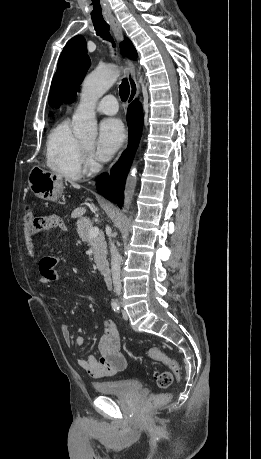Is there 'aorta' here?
Instances as JSON below:
<instances>
[{
  "mask_svg": "<svg viewBox=\"0 0 261 459\" xmlns=\"http://www.w3.org/2000/svg\"><path fill=\"white\" fill-rule=\"evenodd\" d=\"M115 66L98 68L88 75L82 86L80 104L73 116V134L77 138L94 140L97 136L95 105L113 86L119 77ZM136 186V168H132L125 190V202H129Z\"/></svg>",
  "mask_w": 261,
  "mask_h": 459,
  "instance_id": "aorta-1",
  "label": "aorta"
}]
</instances>
